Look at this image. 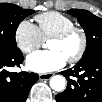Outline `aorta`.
I'll return each mask as SVG.
<instances>
[{"instance_id": "1", "label": "aorta", "mask_w": 102, "mask_h": 102, "mask_svg": "<svg viewBox=\"0 0 102 102\" xmlns=\"http://www.w3.org/2000/svg\"><path fill=\"white\" fill-rule=\"evenodd\" d=\"M65 78L61 75L53 76L50 80V87L57 92H61L65 89Z\"/></svg>"}]
</instances>
